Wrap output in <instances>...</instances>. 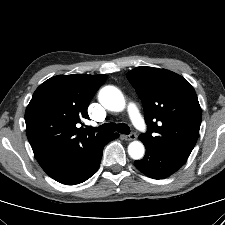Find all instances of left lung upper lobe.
Masks as SVG:
<instances>
[{
  "mask_svg": "<svg viewBox=\"0 0 225 225\" xmlns=\"http://www.w3.org/2000/svg\"><path fill=\"white\" fill-rule=\"evenodd\" d=\"M127 78L143 102L148 124L147 133L139 139L186 161L202 118L193 87L178 74L153 67H137Z\"/></svg>",
  "mask_w": 225,
  "mask_h": 225,
  "instance_id": "left-lung-upper-lobe-1",
  "label": "left lung upper lobe"
}]
</instances>
